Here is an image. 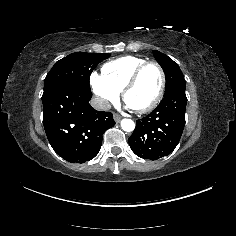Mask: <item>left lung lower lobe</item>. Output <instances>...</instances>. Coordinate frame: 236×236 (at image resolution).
<instances>
[{
  "label": "left lung lower lobe",
  "mask_w": 236,
  "mask_h": 236,
  "mask_svg": "<svg viewBox=\"0 0 236 236\" xmlns=\"http://www.w3.org/2000/svg\"><path fill=\"white\" fill-rule=\"evenodd\" d=\"M186 104L183 88L164 94L163 100L149 115L136 121V128L128 139L133 152L149 160L169 155L181 138Z\"/></svg>",
  "instance_id": "1"
}]
</instances>
